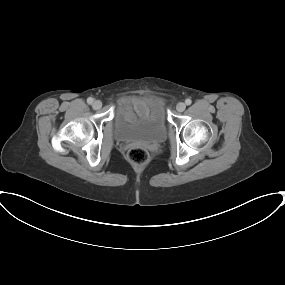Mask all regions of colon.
<instances>
[{
	"label": "colon",
	"mask_w": 285,
	"mask_h": 285,
	"mask_svg": "<svg viewBox=\"0 0 285 285\" xmlns=\"http://www.w3.org/2000/svg\"><path fill=\"white\" fill-rule=\"evenodd\" d=\"M128 159L134 165H143L148 161L149 154L142 147H133L128 151Z\"/></svg>",
	"instance_id": "1"
}]
</instances>
